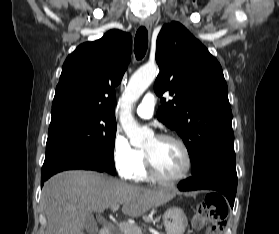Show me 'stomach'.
<instances>
[{
  "label": "stomach",
  "instance_id": "0dacf381",
  "mask_svg": "<svg viewBox=\"0 0 279 234\" xmlns=\"http://www.w3.org/2000/svg\"><path fill=\"white\" fill-rule=\"evenodd\" d=\"M163 224L166 234H183L187 226V217L178 207H171L163 214Z\"/></svg>",
  "mask_w": 279,
  "mask_h": 234
}]
</instances>
